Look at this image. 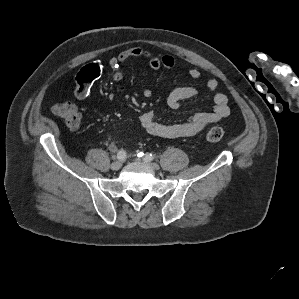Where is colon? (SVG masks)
I'll use <instances>...</instances> for the list:
<instances>
[{
    "label": "colon",
    "mask_w": 299,
    "mask_h": 299,
    "mask_svg": "<svg viewBox=\"0 0 299 299\" xmlns=\"http://www.w3.org/2000/svg\"><path fill=\"white\" fill-rule=\"evenodd\" d=\"M53 113L62 119L70 129H77L81 124L82 115L78 107L72 102H55ZM225 131L220 127H212L206 132V139L217 142L224 138Z\"/></svg>",
    "instance_id": "colon-1"
}]
</instances>
